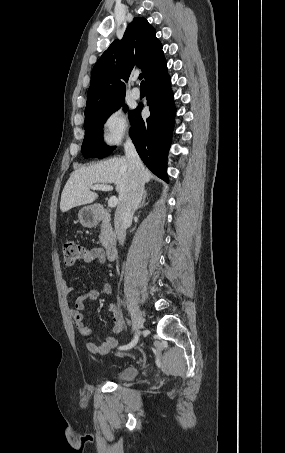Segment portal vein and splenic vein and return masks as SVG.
<instances>
[{
  "label": "portal vein and splenic vein",
  "mask_w": 285,
  "mask_h": 453,
  "mask_svg": "<svg viewBox=\"0 0 285 453\" xmlns=\"http://www.w3.org/2000/svg\"><path fill=\"white\" fill-rule=\"evenodd\" d=\"M91 189L93 190H102V191H110L113 189L112 186L110 185H107V184H95L93 186H91ZM118 203V199L116 196H111L108 200V206L110 208H113L117 205Z\"/></svg>",
  "instance_id": "1"
}]
</instances>
